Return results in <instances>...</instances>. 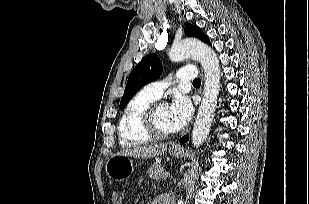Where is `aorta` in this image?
Returning a JSON list of instances; mask_svg holds the SVG:
<instances>
[{
    "label": "aorta",
    "mask_w": 309,
    "mask_h": 204,
    "mask_svg": "<svg viewBox=\"0 0 309 204\" xmlns=\"http://www.w3.org/2000/svg\"><path fill=\"white\" fill-rule=\"evenodd\" d=\"M169 57L174 62L191 57L199 61L204 69L203 99L192 131V144L198 148L204 143L210 132L217 107L220 88L219 60L213 49L208 45L192 39L174 43L169 51ZM180 203L183 204V202Z\"/></svg>",
    "instance_id": "aorta-1"
}]
</instances>
